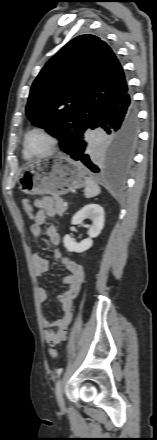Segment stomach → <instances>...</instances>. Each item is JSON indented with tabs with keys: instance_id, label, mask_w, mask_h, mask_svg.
<instances>
[{
	"instance_id": "1",
	"label": "stomach",
	"mask_w": 157,
	"mask_h": 440,
	"mask_svg": "<svg viewBox=\"0 0 157 440\" xmlns=\"http://www.w3.org/2000/svg\"><path fill=\"white\" fill-rule=\"evenodd\" d=\"M85 175L80 162L66 155H54L30 163L20 175L18 184L25 194L59 197L84 187Z\"/></svg>"
}]
</instances>
